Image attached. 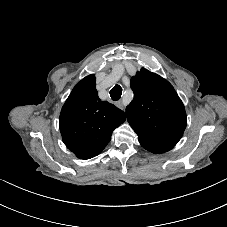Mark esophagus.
Wrapping results in <instances>:
<instances>
[{"label": "esophagus", "instance_id": "obj_1", "mask_svg": "<svg viewBox=\"0 0 227 227\" xmlns=\"http://www.w3.org/2000/svg\"><path fill=\"white\" fill-rule=\"evenodd\" d=\"M115 105H116L118 108L123 109V103H122V101H116V102H115Z\"/></svg>", "mask_w": 227, "mask_h": 227}]
</instances>
